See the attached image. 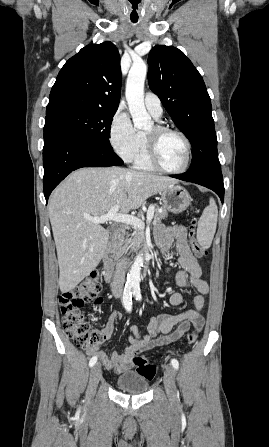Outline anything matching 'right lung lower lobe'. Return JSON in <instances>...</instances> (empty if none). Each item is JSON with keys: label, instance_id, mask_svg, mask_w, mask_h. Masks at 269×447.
I'll return each instance as SVG.
<instances>
[{"label": "right lung lower lobe", "instance_id": "obj_1", "mask_svg": "<svg viewBox=\"0 0 269 447\" xmlns=\"http://www.w3.org/2000/svg\"><path fill=\"white\" fill-rule=\"evenodd\" d=\"M122 164L113 150L77 136L62 126L45 123L43 187L46 203L52 190L72 171Z\"/></svg>", "mask_w": 269, "mask_h": 447}]
</instances>
